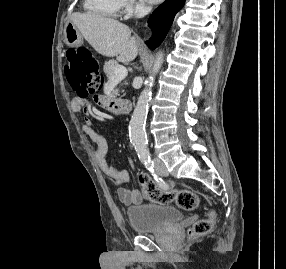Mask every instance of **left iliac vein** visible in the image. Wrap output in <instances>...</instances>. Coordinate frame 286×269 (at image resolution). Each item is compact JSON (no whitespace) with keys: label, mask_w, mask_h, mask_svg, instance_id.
<instances>
[{"label":"left iliac vein","mask_w":286,"mask_h":269,"mask_svg":"<svg viewBox=\"0 0 286 269\" xmlns=\"http://www.w3.org/2000/svg\"><path fill=\"white\" fill-rule=\"evenodd\" d=\"M154 161H155V166H156L157 172L162 176L168 175V171H167L166 167L164 166V164L162 163V161L158 158H156Z\"/></svg>","instance_id":"4c4485c4"}]
</instances>
